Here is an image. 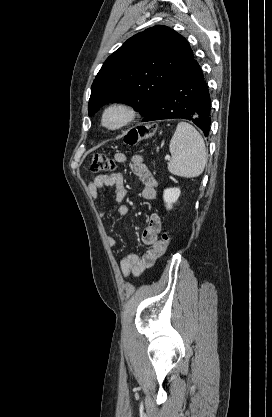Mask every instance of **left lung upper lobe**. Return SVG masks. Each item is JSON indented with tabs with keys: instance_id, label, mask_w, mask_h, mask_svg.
<instances>
[{
	"instance_id": "obj_1",
	"label": "left lung upper lobe",
	"mask_w": 272,
	"mask_h": 417,
	"mask_svg": "<svg viewBox=\"0 0 272 417\" xmlns=\"http://www.w3.org/2000/svg\"><path fill=\"white\" fill-rule=\"evenodd\" d=\"M193 58L187 40L167 26L157 25L132 36L106 59L96 75L89 115L109 102H125L142 116H148L169 84Z\"/></svg>"
}]
</instances>
